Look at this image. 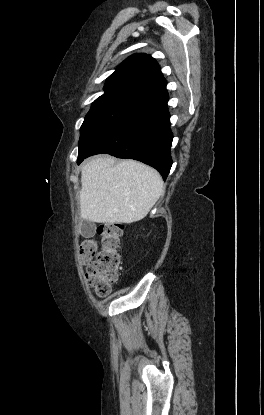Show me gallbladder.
Segmentation results:
<instances>
[{
    "mask_svg": "<svg viewBox=\"0 0 264 415\" xmlns=\"http://www.w3.org/2000/svg\"><path fill=\"white\" fill-rule=\"evenodd\" d=\"M93 223L84 220L82 222V235L85 237H91L93 235Z\"/></svg>",
    "mask_w": 264,
    "mask_h": 415,
    "instance_id": "1",
    "label": "gallbladder"
}]
</instances>
